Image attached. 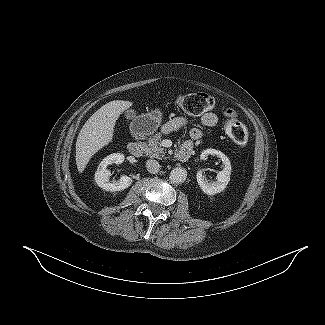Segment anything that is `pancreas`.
I'll list each match as a JSON object with an SVG mask.
<instances>
[{"label":"pancreas","mask_w":325,"mask_h":325,"mask_svg":"<svg viewBox=\"0 0 325 325\" xmlns=\"http://www.w3.org/2000/svg\"><path fill=\"white\" fill-rule=\"evenodd\" d=\"M162 135L160 133L152 136L145 146V153L151 158L162 159L165 156L166 149L161 145Z\"/></svg>","instance_id":"cf45deb5"}]
</instances>
